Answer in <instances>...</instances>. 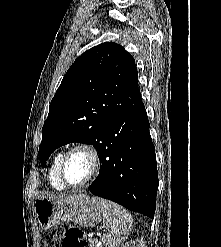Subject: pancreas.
<instances>
[{
  "label": "pancreas",
  "instance_id": "obj_1",
  "mask_svg": "<svg viewBox=\"0 0 221 247\" xmlns=\"http://www.w3.org/2000/svg\"><path fill=\"white\" fill-rule=\"evenodd\" d=\"M89 242H90V247H94V240H92V239H89Z\"/></svg>",
  "mask_w": 221,
  "mask_h": 247
}]
</instances>
